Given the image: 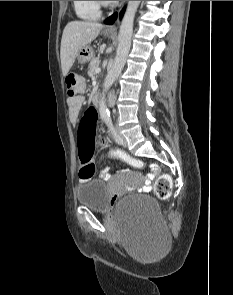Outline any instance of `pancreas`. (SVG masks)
<instances>
[{"instance_id":"obj_1","label":"pancreas","mask_w":233,"mask_h":295,"mask_svg":"<svg viewBox=\"0 0 233 295\" xmlns=\"http://www.w3.org/2000/svg\"><path fill=\"white\" fill-rule=\"evenodd\" d=\"M99 58H92L90 64H89V71H88V75L91 78H94L96 73V69L99 67Z\"/></svg>"}]
</instances>
